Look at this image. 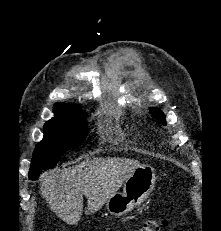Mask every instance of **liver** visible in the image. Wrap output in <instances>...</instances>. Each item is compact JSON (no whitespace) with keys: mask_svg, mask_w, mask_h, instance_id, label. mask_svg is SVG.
<instances>
[{"mask_svg":"<svg viewBox=\"0 0 221 231\" xmlns=\"http://www.w3.org/2000/svg\"><path fill=\"white\" fill-rule=\"evenodd\" d=\"M140 166L139 161L127 158L86 160L42 175L40 191L51 210L74 225L82 216L83 195L88 210L97 212Z\"/></svg>","mask_w":221,"mask_h":231,"instance_id":"liver-1","label":"liver"}]
</instances>
